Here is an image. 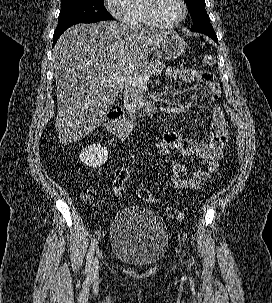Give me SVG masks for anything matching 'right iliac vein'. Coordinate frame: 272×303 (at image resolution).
Masks as SVG:
<instances>
[{
	"mask_svg": "<svg viewBox=\"0 0 272 303\" xmlns=\"http://www.w3.org/2000/svg\"><path fill=\"white\" fill-rule=\"evenodd\" d=\"M99 268H100L99 259H98V256H96L95 260L93 262V266H92L91 271H90V277L91 278L97 277V275L99 273Z\"/></svg>",
	"mask_w": 272,
	"mask_h": 303,
	"instance_id": "obj_1",
	"label": "right iliac vein"
}]
</instances>
